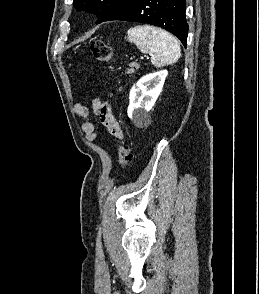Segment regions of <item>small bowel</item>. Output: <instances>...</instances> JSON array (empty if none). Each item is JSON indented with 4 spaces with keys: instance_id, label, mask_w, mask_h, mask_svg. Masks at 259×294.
Segmentation results:
<instances>
[{
    "instance_id": "1",
    "label": "small bowel",
    "mask_w": 259,
    "mask_h": 294,
    "mask_svg": "<svg viewBox=\"0 0 259 294\" xmlns=\"http://www.w3.org/2000/svg\"><path fill=\"white\" fill-rule=\"evenodd\" d=\"M92 111L99 123L104 126L110 134L120 139L124 137L122 129L116 121L111 105L108 102H104L100 98H94L92 100ZM74 113L82 119L81 130L86 139L89 141L95 140L96 126L89 120L90 111L88 107L81 103H76L74 105Z\"/></svg>"
}]
</instances>
